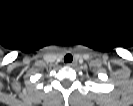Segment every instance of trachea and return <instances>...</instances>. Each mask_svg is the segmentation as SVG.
<instances>
[{
  "label": "trachea",
  "instance_id": "obj_1",
  "mask_svg": "<svg viewBox=\"0 0 133 106\" xmlns=\"http://www.w3.org/2000/svg\"><path fill=\"white\" fill-rule=\"evenodd\" d=\"M73 61V56L71 54H67L65 57H64V62L65 63H71Z\"/></svg>",
  "mask_w": 133,
  "mask_h": 106
}]
</instances>
